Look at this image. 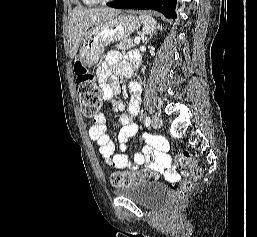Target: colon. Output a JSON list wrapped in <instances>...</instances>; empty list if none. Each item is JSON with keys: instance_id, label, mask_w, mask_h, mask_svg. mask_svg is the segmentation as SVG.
Returning <instances> with one entry per match:
<instances>
[{"instance_id": "colon-1", "label": "colon", "mask_w": 257, "mask_h": 237, "mask_svg": "<svg viewBox=\"0 0 257 237\" xmlns=\"http://www.w3.org/2000/svg\"><path fill=\"white\" fill-rule=\"evenodd\" d=\"M78 95L81 101V111L86 117H96L99 114L102 104V90L97 85L95 77L85 67L78 63L75 67ZM176 161L181 168H185V174L180 181L178 198L184 200L192 191L195 181L199 179L203 170L199 167L188 152L179 153ZM152 177L149 171L120 172L111 175V182L114 187L128 186L134 183L146 181ZM177 216V211L175 212Z\"/></svg>"}]
</instances>
